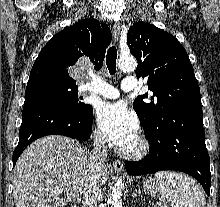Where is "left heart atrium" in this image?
Listing matches in <instances>:
<instances>
[{
	"mask_svg": "<svg viewBox=\"0 0 220 207\" xmlns=\"http://www.w3.org/2000/svg\"><path fill=\"white\" fill-rule=\"evenodd\" d=\"M96 115L101 131L120 148L137 138L138 119L125 104L103 103L98 107Z\"/></svg>",
	"mask_w": 220,
	"mask_h": 207,
	"instance_id": "39dd6f15",
	"label": "left heart atrium"
}]
</instances>
